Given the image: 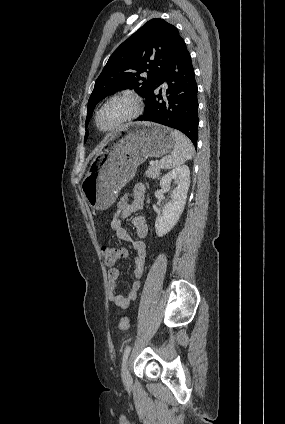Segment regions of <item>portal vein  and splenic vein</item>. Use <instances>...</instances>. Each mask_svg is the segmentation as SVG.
<instances>
[{
    "label": "portal vein and splenic vein",
    "instance_id": "obj_1",
    "mask_svg": "<svg viewBox=\"0 0 285 424\" xmlns=\"http://www.w3.org/2000/svg\"><path fill=\"white\" fill-rule=\"evenodd\" d=\"M155 162H150L151 165H153Z\"/></svg>",
    "mask_w": 285,
    "mask_h": 424
}]
</instances>
